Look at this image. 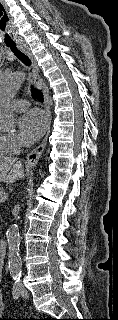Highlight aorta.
Wrapping results in <instances>:
<instances>
[{"mask_svg":"<svg viewBox=\"0 0 118 320\" xmlns=\"http://www.w3.org/2000/svg\"><path fill=\"white\" fill-rule=\"evenodd\" d=\"M24 78V74L20 71L9 72L0 76V130L10 131L16 126V115L10 107V102L16 95ZM6 238L8 242V269L13 279H19L21 277L22 261L18 225L9 226Z\"/></svg>","mask_w":118,"mask_h":320,"instance_id":"aorta-1","label":"aorta"}]
</instances>
